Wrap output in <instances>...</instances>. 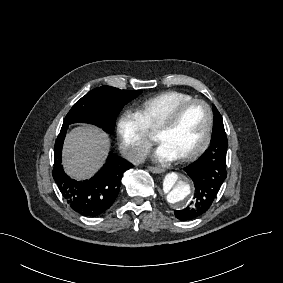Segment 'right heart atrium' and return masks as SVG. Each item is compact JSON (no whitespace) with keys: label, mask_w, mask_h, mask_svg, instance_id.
Listing matches in <instances>:
<instances>
[{"label":"right heart atrium","mask_w":283,"mask_h":283,"mask_svg":"<svg viewBox=\"0 0 283 283\" xmlns=\"http://www.w3.org/2000/svg\"><path fill=\"white\" fill-rule=\"evenodd\" d=\"M116 134L124 158L137 163L150 148L147 125L135 111L125 108L116 123Z\"/></svg>","instance_id":"1"}]
</instances>
